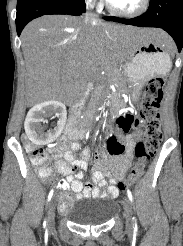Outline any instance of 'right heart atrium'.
I'll return each mask as SVG.
<instances>
[{
	"label": "right heart atrium",
	"mask_w": 183,
	"mask_h": 246,
	"mask_svg": "<svg viewBox=\"0 0 183 246\" xmlns=\"http://www.w3.org/2000/svg\"><path fill=\"white\" fill-rule=\"evenodd\" d=\"M88 2H96V1H98V0H87Z\"/></svg>",
	"instance_id": "obj_1"
}]
</instances>
